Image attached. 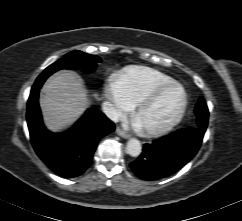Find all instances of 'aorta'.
Instances as JSON below:
<instances>
[{
  "mask_svg": "<svg viewBox=\"0 0 242 221\" xmlns=\"http://www.w3.org/2000/svg\"><path fill=\"white\" fill-rule=\"evenodd\" d=\"M126 149L130 156L138 157L142 151L141 143L139 140L132 138L127 142Z\"/></svg>",
  "mask_w": 242,
  "mask_h": 221,
  "instance_id": "1",
  "label": "aorta"
}]
</instances>
